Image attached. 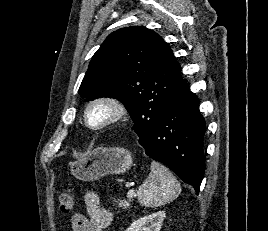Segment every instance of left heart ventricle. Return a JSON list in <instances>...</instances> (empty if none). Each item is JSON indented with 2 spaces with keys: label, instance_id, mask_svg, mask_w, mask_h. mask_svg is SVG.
Wrapping results in <instances>:
<instances>
[{
  "label": "left heart ventricle",
  "instance_id": "1",
  "mask_svg": "<svg viewBox=\"0 0 268 231\" xmlns=\"http://www.w3.org/2000/svg\"><path fill=\"white\" fill-rule=\"evenodd\" d=\"M109 115V110L106 106L99 105L93 107L89 112V121L92 124L100 123L105 120Z\"/></svg>",
  "mask_w": 268,
  "mask_h": 231
}]
</instances>
